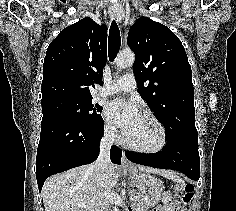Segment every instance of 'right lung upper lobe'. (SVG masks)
I'll return each mask as SVG.
<instances>
[{
	"label": "right lung upper lobe",
	"instance_id": "1",
	"mask_svg": "<svg viewBox=\"0 0 236 211\" xmlns=\"http://www.w3.org/2000/svg\"><path fill=\"white\" fill-rule=\"evenodd\" d=\"M107 28L86 17L68 26L48 46L41 104L58 98H92L89 86L102 84Z\"/></svg>",
	"mask_w": 236,
	"mask_h": 211
}]
</instances>
